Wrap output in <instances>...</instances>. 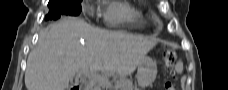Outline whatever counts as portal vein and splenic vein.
Masks as SVG:
<instances>
[{"instance_id": "portal-vein-and-splenic-vein-1", "label": "portal vein and splenic vein", "mask_w": 228, "mask_h": 90, "mask_svg": "<svg viewBox=\"0 0 228 90\" xmlns=\"http://www.w3.org/2000/svg\"><path fill=\"white\" fill-rule=\"evenodd\" d=\"M94 71L95 70L93 68H91L90 70L88 68H84L83 70L78 71V73L79 74H83V75H85L86 77H89V78L97 79V78L94 77V74H93Z\"/></svg>"}]
</instances>
